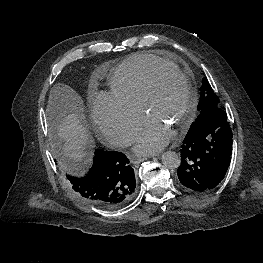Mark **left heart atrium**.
<instances>
[{
  "label": "left heart atrium",
  "mask_w": 263,
  "mask_h": 263,
  "mask_svg": "<svg viewBox=\"0 0 263 263\" xmlns=\"http://www.w3.org/2000/svg\"><path fill=\"white\" fill-rule=\"evenodd\" d=\"M170 139V132L157 121L148 118L138 134L135 150L139 154L154 153L162 149Z\"/></svg>",
  "instance_id": "obj_1"
}]
</instances>
